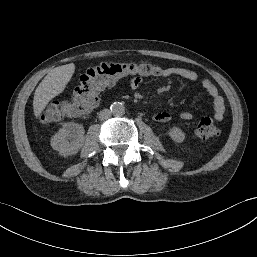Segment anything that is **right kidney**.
Returning a JSON list of instances; mask_svg holds the SVG:
<instances>
[{
  "label": "right kidney",
  "instance_id": "right-kidney-1",
  "mask_svg": "<svg viewBox=\"0 0 257 257\" xmlns=\"http://www.w3.org/2000/svg\"><path fill=\"white\" fill-rule=\"evenodd\" d=\"M84 128L82 125L68 122L52 137L51 146L63 156L76 154L83 146Z\"/></svg>",
  "mask_w": 257,
  "mask_h": 257
}]
</instances>
